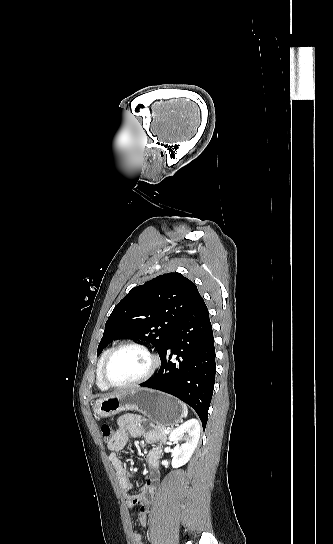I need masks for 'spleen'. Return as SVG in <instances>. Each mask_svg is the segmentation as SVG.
Segmentation results:
<instances>
[{
  "label": "spleen",
  "instance_id": "obj_1",
  "mask_svg": "<svg viewBox=\"0 0 333 544\" xmlns=\"http://www.w3.org/2000/svg\"><path fill=\"white\" fill-rule=\"evenodd\" d=\"M182 406V417L186 418L188 415V408L184 403H181Z\"/></svg>",
  "mask_w": 333,
  "mask_h": 544
}]
</instances>
